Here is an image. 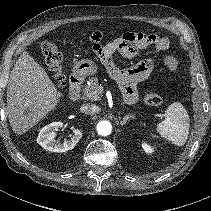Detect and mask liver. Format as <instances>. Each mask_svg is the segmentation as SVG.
Listing matches in <instances>:
<instances>
[{
    "instance_id": "1",
    "label": "liver",
    "mask_w": 211,
    "mask_h": 211,
    "mask_svg": "<svg viewBox=\"0 0 211 211\" xmlns=\"http://www.w3.org/2000/svg\"><path fill=\"white\" fill-rule=\"evenodd\" d=\"M60 97L46 71L24 51L7 86V115L13 132L26 133L58 105Z\"/></svg>"
}]
</instances>
